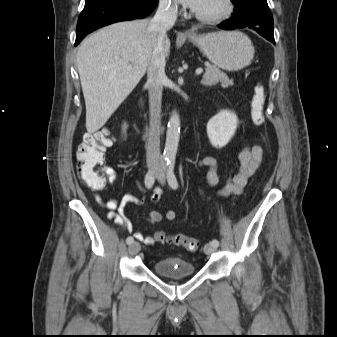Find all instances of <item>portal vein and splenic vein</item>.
Wrapping results in <instances>:
<instances>
[{"instance_id":"obj_1","label":"portal vein and splenic vein","mask_w":337,"mask_h":337,"mask_svg":"<svg viewBox=\"0 0 337 337\" xmlns=\"http://www.w3.org/2000/svg\"><path fill=\"white\" fill-rule=\"evenodd\" d=\"M132 68V65H128L127 69L130 70ZM203 72L202 68H198L196 70V75H200Z\"/></svg>"}]
</instances>
